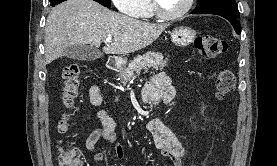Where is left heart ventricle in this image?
Segmentation results:
<instances>
[{
    "label": "left heart ventricle",
    "instance_id": "left-heart-ventricle-1",
    "mask_svg": "<svg viewBox=\"0 0 277 166\" xmlns=\"http://www.w3.org/2000/svg\"><path fill=\"white\" fill-rule=\"evenodd\" d=\"M161 9L167 14L178 12L185 5L186 0H157Z\"/></svg>",
    "mask_w": 277,
    "mask_h": 166
}]
</instances>
